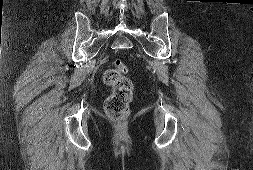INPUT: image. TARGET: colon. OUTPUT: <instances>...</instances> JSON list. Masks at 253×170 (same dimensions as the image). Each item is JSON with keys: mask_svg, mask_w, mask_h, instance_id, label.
<instances>
[{"mask_svg": "<svg viewBox=\"0 0 253 170\" xmlns=\"http://www.w3.org/2000/svg\"><path fill=\"white\" fill-rule=\"evenodd\" d=\"M128 68L119 59L104 74V82L113 92L105 102V112L114 122H122L129 115V105L133 97V84L127 78Z\"/></svg>", "mask_w": 253, "mask_h": 170, "instance_id": "colon-1", "label": "colon"}]
</instances>
